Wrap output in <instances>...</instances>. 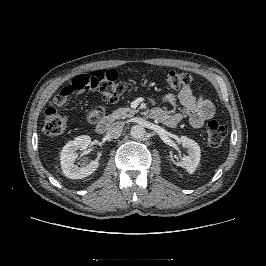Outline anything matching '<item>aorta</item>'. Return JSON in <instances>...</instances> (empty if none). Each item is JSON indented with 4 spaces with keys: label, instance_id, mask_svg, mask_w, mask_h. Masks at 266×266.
Returning a JSON list of instances; mask_svg holds the SVG:
<instances>
[{
    "label": "aorta",
    "instance_id": "762f6f07",
    "mask_svg": "<svg viewBox=\"0 0 266 266\" xmlns=\"http://www.w3.org/2000/svg\"><path fill=\"white\" fill-rule=\"evenodd\" d=\"M130 135L133 139L140 140L145 136V129L141 125H134L130 130Z\"/></svg>",
    "mask_w": 266,
    "mask_h": 266
}]
</instances>
